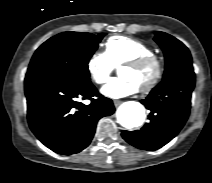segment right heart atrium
<instances>
[{
    "label": "right heart atrium",
    "mask_w": 212,
    "mask_h": 183,
    "mask_svg": "<svg viewBox=\"0 0 212 183\" xmlns=\"http://www.w3.org/2000/svg\"><path fill=\"white\" fill-rule=\"evenodd\" d=\"M115 66L105 52L94 53L87 63L90 78L96 84L102 85L109 81Z\"/></svg>",
    "instance_id": "obj_1"
}]
</instances>
